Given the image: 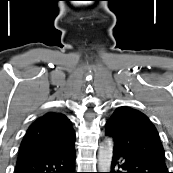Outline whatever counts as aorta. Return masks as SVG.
<instances>
[{
  "label": "aorta",
  "instance_id": "aorta-1",
  "mask_svg": "<svg viewBox=\"0 0 173 173\" xmlns=\"http://www.w3.org/2000/svg\"><path fill=\"white\" fill-rule=\"evenodd\" d=\"M113 156L112 139L107 138L102 142L98 151V169L100 172H109Z\"/></svg>",
  "mask_w": 173,
  "mask_h": 173
}]
</instances>
